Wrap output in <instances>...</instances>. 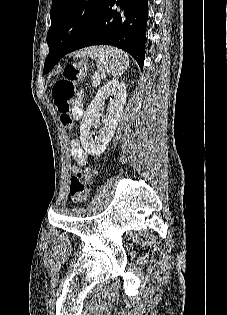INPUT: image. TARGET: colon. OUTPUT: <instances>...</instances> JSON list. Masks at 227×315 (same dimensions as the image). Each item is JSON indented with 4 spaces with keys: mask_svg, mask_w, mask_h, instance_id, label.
I'll use <instances>...</instances> for the list:
<instances>
[{
    "mask_svg": "<svg viewBox=\"0 0 227 315\" xmlns=\"http://www.w3.org/2000/svg\"><path fill=\"white\" fill-rule=\"evenodd\" d=\"M84 65L74 62L66 65L63 69L62 78L58 79L52 88V96L60 114L61 124L72 130L77 120L78 114L71 106V100L75 94V87L83 79ZM69 193L72 200L77 203L85 202L90 193L86 174L78 170L71 178Z\"/></svg>",
    "mask_w": 227,
    "mask_h": 315,
    "instance_id": "obj_1",
    "label": "colon"
}]
</instances>
